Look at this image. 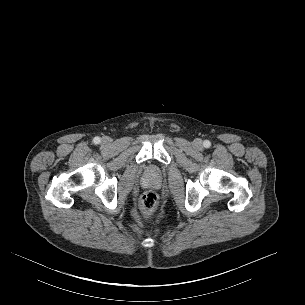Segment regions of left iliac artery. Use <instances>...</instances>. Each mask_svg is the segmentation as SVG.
I'll list each match as a JSON object with an SVG mask.
<instances>
[{
	"mask_svg": "<svg viewBox=\"0 0 305 305\" xmlns=\"http://www.w3.org/2000/svg\"><path fill=\"white\" fill-rule=\"evenodd\" d=\"M203 145L205 148H209L211 146V142L209 140H205Z\"/></svg>",
	"mask_w": 305,
	"mask_h": 305,
	"instance_id": "1",
	"label": "left iliac artery"
}]
</instances>
